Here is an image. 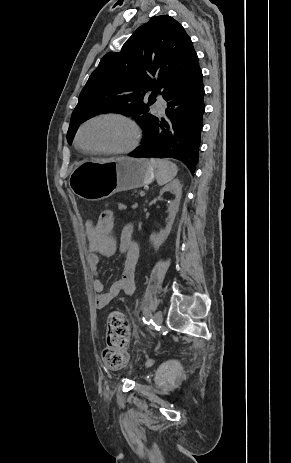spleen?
Listing matches in <instances>:
<instances>
[{"label":"spleen","instance_id":"3e777b00","mask_svg":"<svg viewBox=\"0 0 291 463\" xmlns=\"http://www.w3.org/2000/svg\"><path fill=\"white\" fill-rule=\"evenodd\" d=\"M151 165L157 169L156 180L162 186L175 178L178 172L177 166L168 160L150 159Z\"/></svg>","mask_w":291,"mask_h":463}]
</instances>
